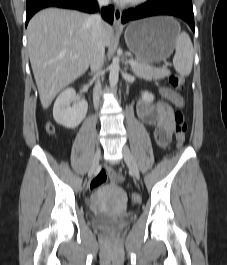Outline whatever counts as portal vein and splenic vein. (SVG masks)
I'll return each mask as SVG.
<instances>
[{
  "mask_svg": "<svg viewBox=\"0 0 227 265\" xmlns=\"http://www.w3.org/2000/svg\"><path fill=\"white\" fill-rule=\"evenodd\" d=\"M129 63H130L131 65H134V66H135V65H138V63H137L136 61H134V60H130Z\"/></svg>",
  "mask_w": 227,
  "mask_h": 265,
  "instance_id": "obj_1",
  "label": "portal vein and splenic vein"
}]
</instances>
